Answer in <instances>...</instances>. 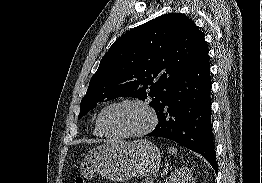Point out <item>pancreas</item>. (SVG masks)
Here are the masks:
<instances>
[{
    "label": "pancreas",
    "instance_id": "obj_1",
    "mask_svg": "<svg viewBox=\"0 0 262 183\" xmlns=\"http://www.w3.org/2000/svg\"><path fill=\"white\" fill-rule=\"evenodd\" d=\"M141 183H151V181L150 180H145V181H143Z\"/></svg>",
    "mask_w": 262,
    "mask_h": 183
}]
</instances>
